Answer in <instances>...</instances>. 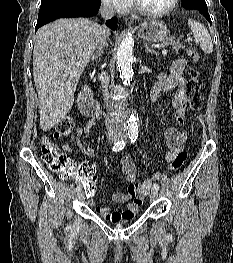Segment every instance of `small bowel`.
I'll return each instance as SVG.
<instances>
[{"label":"small bowel","instance_id":"c3829d8e","mask_svg":"<svg viewBox=\"0 0 233 263\" xmlns=\"http://www.w3.org/2000/svg\"><path fill=\"white\" fill-rule=\"evenodd\" d=\"M185 66L186 60L184 58L175 60L168 74H159L158 80L151 90V100L154 103L158 102L164 94L174 91L170 108L173 110L176 121L180 124H183L185 121L187 105V80L183 76ZM93 125L94 121H89L84 126H78L75 132L68 137L69 143L76 144L87 155L93 154V150L87 143V138ZM165 138L169 152L166 154L164 161L170 163L177 154L183 152L184 145L188 139V133L185 130L180 131L174 127H170L165 132ZM69 143H65L62 146L63 150L67 153L72 151ZM120 164L123 177L129 186L126 191L113 193L111 198L115 203H127L128 206L124 211H111L105 206H95V201L92 199L93 195H86L89 198V204L95 206L96 213L111 222L133 218L139 211L144 197L151 188V181L149 179L141 183L137 182V166L132 159L123 157ZM89 169L90 171H95L96 165L94 162L88 161L82 163L77 171H88Z\"/></svg>","mask_w":233,"mask_h":263}]
</instances>
